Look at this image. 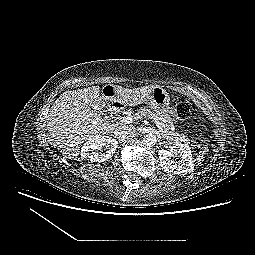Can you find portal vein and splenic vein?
I'll return each instance as SVG.
<instances>
[{"label":"portal vein and splenic vein","instance_id":"portal-vein-and-splenic-vein-1","mask_svg":"<svg viewBox=\"0 0 255 255\" xmlns=\"http://www.w3.org/2000/svg\"><path fill=\"white\" fill-rule=\"evenodd\" d=\"M149 118H151V117H149ZM134 119H139V118L138 117H133V116H124V117L120 118V121L124 124H130V123H132V121ZM151 119L154 120V122L156 123V125L159 128L160 132H163V128L161 126V123L159 121H157V119H155V118H151Z\"/></svg>","mask_w":255,"mask_h":255}]
</instances>
